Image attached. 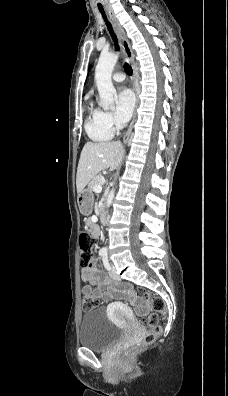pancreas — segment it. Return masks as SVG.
I'll return each instance as SVG.
<instances>
[{
    "mask_svg": "<svg viewBox=\"0 0 228 396\" xmlns=\"http://www.w3.org/2000/svg\"><path fill=\"white\" fill-rule=\"evenodd\" d=\"M102 178L103 177L101 175L93 177L88 183V189L94 191V187L102 180Z\"/></svg>",
    "mask_w": 228,
    "mask_h": 396,
    "instance_id": "cf45deb5",
    "label": "pancreas"
}]
</instances>
